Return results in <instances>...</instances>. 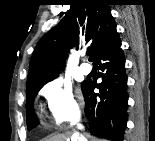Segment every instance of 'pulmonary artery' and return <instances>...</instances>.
<instances>
[{"label": "pulmonary artery", "instance_id": "1", "mask_svg": "<svg viewBox=\"0 0 155 141\" xmlns=\"http://www.w3.org/2000/svg\"><path fill=\"white\" fill-rule=\"evenodd\" d=\"M91 70H92V67L88 63H83V64L80 65V71L84 75L89 74L91 72Z\"/></svg>", "mask_w": 155, "mask_h": 141}]
</instances>
